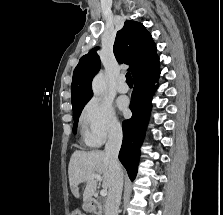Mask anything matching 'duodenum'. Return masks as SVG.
<instances>
[{
    "label": "duodenum",
    "mask_w": 223,
    "mask_h": 215,
    "mask_svg": "<svg viewBox=\"0 0 223 215\" xmlns=\"http://www.w3.org/2000/svg\"><path fill=\"white\" fill-rule=\"evenodd\" d=\"M83 207L92 215H102L101 206L93 198H87Z\"/></svg>",
    "instance_id": "duodenum-1"
}]
</instances>
